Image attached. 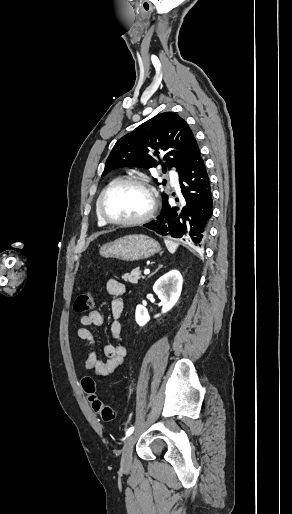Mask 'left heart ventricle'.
Wrapping results in <instances>:
<instances>
[{
    "mask_svg": "<svg viewBox=\"0 0 292 514\" xmlns=\"http://www.w3.org/2000/svg\"><path fill=\"white\" fill-rule=\"evenodd\" d=\"M149 207L146 192L132 184L112 188L104 198V212L115 220H130L142 216Z\"/></svg>",
    "mask_w": 292,
    "mask_h": 514,
    "instance_id": "obj_1",
    "label": "left heart ventricle"
}]
</instances>
